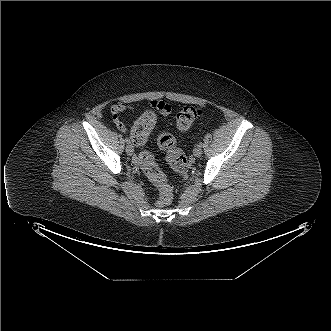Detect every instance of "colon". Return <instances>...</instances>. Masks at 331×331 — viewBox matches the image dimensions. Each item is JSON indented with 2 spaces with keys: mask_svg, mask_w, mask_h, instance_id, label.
Segmentation results:
<instances>
[{
  "mask_svg": "<svg viewBox=\"0 0 331 331\" xmlns=\"http://www.w3.org/2000/svg\"><path fill=\"white\" fill-rule=\"evenodd\" d=\"M202 112L199 108L185 106L176 115V123L180 129L189 128L200 116ZM157 120L156 114L152 110H145L135 121L132 128V141L136 145L144 144L153 129ZM157 143L159 148L166 154L170 167L178 172L186 170L188 160L186 155L177 145L174 136L168 132L159 134ZM140 163L144 174L158 188L159 194L157 205L165 206L173 199V190L163 172L159 169L155 160L149 153L141 155Z\"/></svg>",
  "mask_w": 331,
  "mask_h": 331,
  "instance_id": "1",
  "label": "colon"
}]
</instances>
